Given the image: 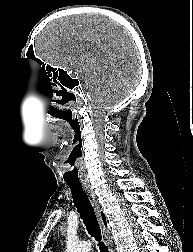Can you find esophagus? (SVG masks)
I'll list each match as a JSON object with an SVG mask.
<instances>
[{"mask_svg": "<svg viewBox=\"0 0 193 252\" xmlns=\"http://www.w3.org/2000/svg\"><path fill=\"white\" fill-rule=\"evenodd\" d=\"M83 187H84V190H85V192H86V194H87V196H88V198H89V200L95 210V213L97 215V219H98L101 231L103 233L106 245L109 249V252H113V250H112V246H113L112 236H111L110 231L104 225V222H103V219L101 216V209H100V205L98 203L97 197H96L90 184H83Z\"/></svg>", "mask_w": 193, "mask_h": 252, "instance_id": "esophagus-1", "label": "esophagus"}]
</instances>
